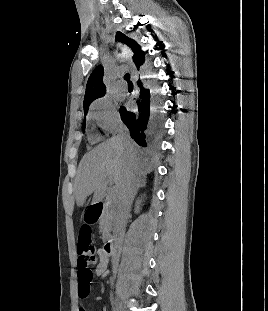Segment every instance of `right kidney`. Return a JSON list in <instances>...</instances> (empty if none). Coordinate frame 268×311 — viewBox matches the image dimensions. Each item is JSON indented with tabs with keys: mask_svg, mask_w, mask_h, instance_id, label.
<instances>
[{
	"mask_svg": "<svg viewBox=\"0 0 268 311\" xmlns=\"http://www.w3.org/2000/svg\"><path fill=\"white\" fill-rule=\"evenodd\" d=\"M141 202H142V200H138L136 202V208H135L136 213H138L140 211V204H141Z\"/></svg>",
	"mask_w": 268,
	"mask_h": 311,
	"instance_id": "ca27d5eb",
	"label": "right kidney"
}]
</instances>
